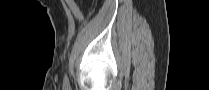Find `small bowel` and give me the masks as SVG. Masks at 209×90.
I'll list each match as a JSON object with an SVG mask.
<instances>
[{
	"instance_id": "small-bowel-1",
	"label": "small bowel",
	"mask_w": 209,
	"mask_h": 90,
	"mask_svg": "<svg viewBox=\"0 0 209 90\" xmlns=\"http://www.w3.org/2000/svg\"><path fill=\"white\" fill-rule=\"evenodd\" d=\"M66 2H67L69 9L72 11V13L75 15V17L78 20H83V18H84L83 13H82L81 9L79 8V6L77 5V3L73 0H67Z\"/></svg>"
}]
</instances>
